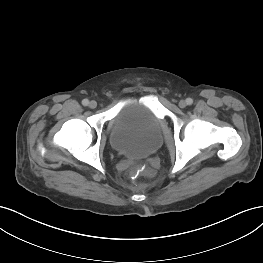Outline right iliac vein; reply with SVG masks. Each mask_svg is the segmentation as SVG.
Here are the masks:
<instances>
[{
  "mask_svg": "<svg viewBox=\"0 0 263 263\" xmlns=\"http://www.w3.org/2000/svg\"><path fill=\"white\" fill-rule=\"evenodd\" d=\"M89 107H90L91 109L96 108V107H97V102L94 101V100L90 101V102H89Z\"/></svg>",
  "mask_w": 263,
  "mask_h": 263,
  "instance_id": "right-iliac-vein-1",
  "label": "right iliac vein"
}]
</instances>
